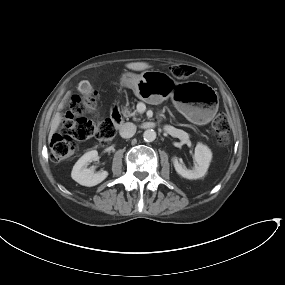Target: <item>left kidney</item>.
Returning <instances> with one entry per match:
<instances>
[{
    "instance_id": "5707ae66",
    "label": "left kidney",
    "mask_w": 285,
    "mask_h": 285,
    "mask_svg": "<svg viewBox=\"0 0 285 285\" xmlns=\"http://www.w3.org/2000/svg\"><path fill=\"white\" fill-rule=\"evenodd\" d=\"M212 159V152L208 146L198 143L195 147V167L192 170L187 169L183 166L177 157H173V165L176 172L186 179H198L203 177L210 165Z\"/></svg>"
}]
</instances>
